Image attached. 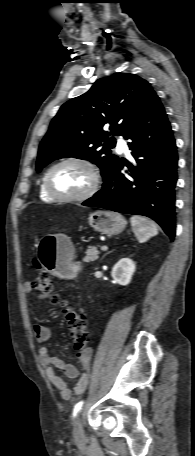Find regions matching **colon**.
Masks as SVG:
<instances>
[{
    "mask_svg": "<svg viewBox=\"0 0 195 456\" xmlns=\"http://www.w3.org/2000/svg\"><path fill=\"white\" fill-rule=\"evenodd\" d=\"M36 266L39 268L37 262ZM32 287L46 295H50L54 291L52 279L44 270L39 272L32 283ZM64 314L70 330L73 347L79 352L81 357L87 350V344L89 343V332L85 316L69 306H64Z\"/></svg>",
    "mask_w": 195,
    "mask_h": 456,
    "instance_id": "5ec220e1",
    "label": "colon"
}]
</instances>
